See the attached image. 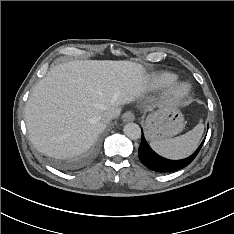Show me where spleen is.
<instances>
[{
    "mask_svg": "<svg viewBox=\"0 0 234 234\" xmlns=\"http://www.w3.org/2000/svg\"><path fill=\"white\" fill-rule=\"evenodd\" d=\"M204 131L200 122L191 131L172 139L154 140L151 147L160 155L169 159H182L191 155L197 148Z\"/></svg>",
    "mask_w": 234,
    "mask_h": 234,
    "instance_id": "spleen-1",
    "label": "spleen"
}]
</instances>
